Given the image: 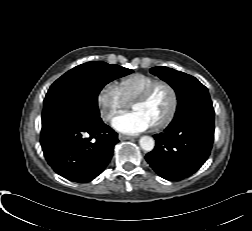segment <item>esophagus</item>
Listing matches in <instances>:
<instances>
[{
  "mask_svg": "<svg viewBox=\"0 0 252 231\" xmlns=\"http://www.w3.org/2000/svg\"><path fill=\"white\" fill-rule=\"evenodd\" d=\"M118 138L119 140L123 141V140H133L135 137L120 134Z\"/></svg>",
  "mask_w": 252,
  "mask_h": 231,
  "instance_id": "34e87169",
  "label": "esophagus"
}]
</instances>
